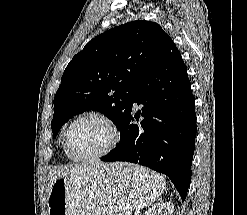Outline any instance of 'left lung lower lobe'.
Wrapping results in <instances>:
<instances>
[{
	"label": "left lung lower lobe",
	"instance_id": "obj_1",
	"mask_svg": "<svg viewBox=\"0 0 247 215\" xmlns=\"http://www.w3.org/2000/svg\"><path fill=\"white\" fill-rule=\"evenodd\" d=\"M132 106L119 128L120 142L101 160L127 161L167 175L185 200L191 182L196 113L187 69L173 41L136 88ZM139 115L143 117L139 124Z\"/></svg>",
	"mask_w": 247,
	"mask_h": 215
}]
</instances>
